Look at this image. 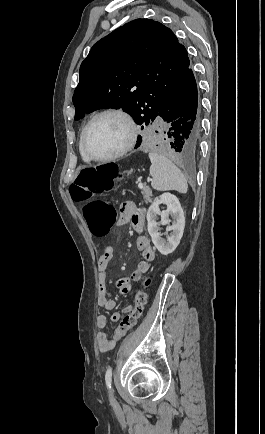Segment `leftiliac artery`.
I'll return each instance as SVG.
<instances>
[{
	"instance_id": "44dca946",
	"label": "left iliac artery",
	"mask_w": 265,
	"mask_h": 434,
	"mask_svg": "<svg viewBox=\"0 0 265 434\" xmlns=\"http://www.w3.org/2000/svg\"><path fill=\"white\" fill-rule=\"evenodd\" d=\"M105 381L106 385L109 389H111V382H112V367L109 366L107 368L106 374H105Z\"/></svg>"
}]
</instances>
